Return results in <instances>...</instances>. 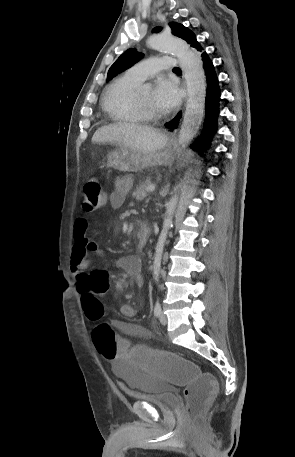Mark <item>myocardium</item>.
<instances>
[{"label": "myocardium", "instance_id": "f54148a6", "mask_svg": "<svg viewBox=\"0 0 295 457\" xmlns=\"http://www.w3.org/2000/svg\"><path fill=\"white\" fill-rule=\"evenodd\" d=\"M134 103L139 112L146 118L155 119L159 117V114L155 110L141 105L137 99H134Z\"/></svg>", "mask_w": 295, "mask_h": 457}]
</instances>
